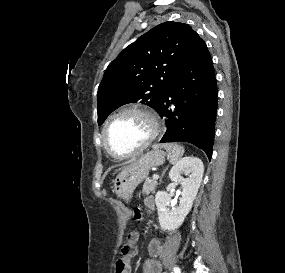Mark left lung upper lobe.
Masks as SVG:
<instances>
[{"label": "left lung upper lobe", "mask_w": 285, "mask_h": 273, "mask_svg": "<svg viewBox=\"0 0 285 273\" xmlns=\"http://www.w3.org/2000/svg\"><path fill=\"white\" fill-rule=\"evenodd\" d=\"M188 24H159L109 65L97 93L98 124L118 107L140 101L157 110L190 44Z\"/></svg>", "instance_id": "1"}]
</instances>
